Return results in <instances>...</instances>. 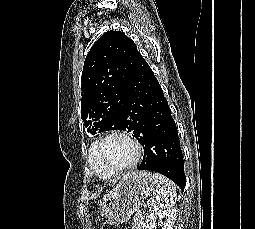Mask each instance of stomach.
Returning a JSON list of instances; mask_svg holds the SVG:
<instances>
[{
  "label": "stomach",
  "instance_id": "obj_1",
  "mask_svg": "<svg viewBox=\"0 0 255 229\" xmlns=\"http://www.w3.org/2000/svg\"><path fill=\"white\" fill-rule=\"evenodd\" d=\"M155 185L150 172H128L103 198L102 216L118 223L127 222L139 209L142 201L150 196Z\"/></svg>",
  "mask_w": 255,
  "mask_h": 229
}]
</instances>
